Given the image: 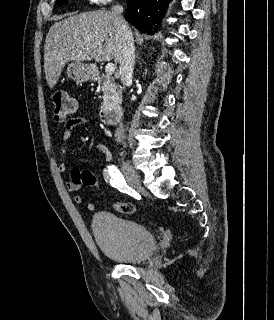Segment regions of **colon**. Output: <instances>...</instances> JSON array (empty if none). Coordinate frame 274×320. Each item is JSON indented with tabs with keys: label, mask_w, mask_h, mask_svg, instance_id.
<instances>
[{
	"label": "colon",
	"mask_w": 274,
	"mask_h": 320,
	"mask_svg": "<svg viewBox=\"0 0 274 320\" xmlns=\"http://www.w3.org/2000/svg\"><path fill=\"white\" fill-rule=\"evenodd\" d=\"M51 101L53 105L52 116L57 122H64L68 117H72L69 121L75 119L74 115L77 110V102L73 99L65 89H57L51 94ZM91 169L74 170L71 174V180L75 185L82 184V186H92L93 189L99 188L96 175H91ZM113 209L120 214L130 215L136 209L129 203H113Z\"/></svg>",
	"instance_id": "colon-1"
}]
</instances>
